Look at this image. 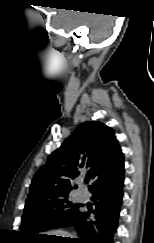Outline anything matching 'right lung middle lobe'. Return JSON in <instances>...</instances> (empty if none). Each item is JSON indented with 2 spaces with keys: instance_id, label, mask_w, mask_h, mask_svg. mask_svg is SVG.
Segmentation results:
<instances>
[{
  "instance_id": "dd1d6c3e",
  "label": "right lung middle lobe",
  "mask_w": 154,
  "mask_h": 243,
  "mask_svg": "<svg viewBox=\"0 0 154 243\" xmlns=\"http://www.w3.org/2000/svg\"><path fill=\"white\" fill-rule=\"evenodd\" d=\"M79 207L64 196L25 208L21 223L24 239L36 238L41 231L59 228L65 220L79 212Z\"/></svg>"
}]
</instances>
